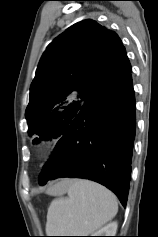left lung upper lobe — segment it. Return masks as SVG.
Instances as JSON below:
<instances>
[{
	"label": "left lung upper lobe",
	"instance_id": "obj_1",
	"mask_svg": "<svg viewBox=\"0 0 158 237\" xmlns=\"http://www.w3.org/2000/svg\"><path fill=\"white\" fill-rule=\"evenodd\" d=\"M131 72L118 35L87 19L46 48L30 88L26 119L33 143L61 138L97 93Z\"/></svg>",
	"mask_w": 158,
	"mask_h": 237
}]
</instances>
